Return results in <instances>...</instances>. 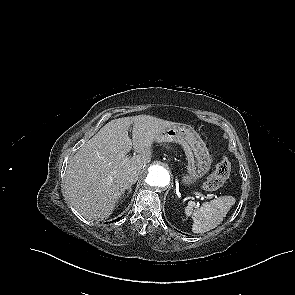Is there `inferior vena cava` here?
<instances>
[{"label":"inferior vena cava","instance_id":"1","mask_svg":"<svg viewBox=\"0 0 295 295\" xmlns=\"http://www.w3.org/2000/svg\"><path fill=\"white\" fill-rule=\"evenodd\" d=\"M138 175H139V173L137 171H131V172L128 173L127 179L130 182H136L137 179H138Z\"/></svg>","mask_w":295,"mask_h":295}]
</instances>
